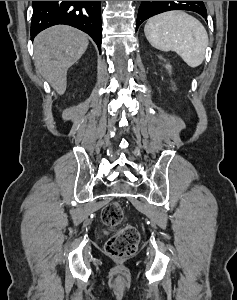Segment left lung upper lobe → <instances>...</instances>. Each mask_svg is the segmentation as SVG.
Here are the masks:
<instances>
[{"label": "left lung upper lobe", "instance_id": "1", "mask_svg": "<svg viewBox=\"0 0 237 300\" xmlns=\"http://www.w3.org/2000/svg\"><path fill=\"white\" fill-rule=\"evenodd\" d=\"M170 10L193 11L207 20V11L203 1H142L138 11L136 29L146 19Z\"/></svg>", "mask_w": 237, "mask_h": 300}]
</instances>
